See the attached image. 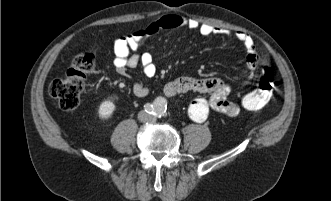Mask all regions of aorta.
<instances>
[{"instance_id": "1", "label": "aorta", "mask_w": 331, "mask_h": 201, "mask_svg": "<svg viewBox=\"0 0 331 201\" xmlns=\"http://www.w3.org/2000/svg\"><path fill=\"white\" fill-rule=\"evenodd\" d=\"M167 108L166 101L163 98H156L152 103V110L156 115H162Z\"/></svg>"}]
</instances>
